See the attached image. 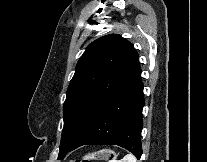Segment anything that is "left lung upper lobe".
Listing matches in <instances>:
<instances>
[{"instance_id":"obj_1","label":"left lung upper lobe","mask_w":207,"mask_h":162,"mask_svg":"<svg viewBox=\"0 0 207 162\" xmlns=\"http://www.w3.org/2000/svg\"><path fill=\"white\" fill-rule=\"evenodd\" d=\"M139 68L135 48L119 35L103 36L86 48L67 90L58 160L73 146L101 104Z\"/></svg>"}]
</instances>
